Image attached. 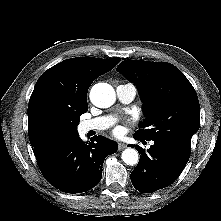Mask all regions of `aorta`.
<instances>
[{
    "label": "aorta",
    "mask_w": 221,
    "mask_h": 221,
    "mask_svg": "<svg viewBox=\"0 0 221 221\" xmlns=\"http://www.w3.org/2000/svg\"><path fill=\"white\" fill-rule=\"evenodd\" d=\"M116 99L113 87L107 83L95 84L90 91L91 102L99 108H107L114 104ZM123 162L127 165H136L139 154L133 148H126L121 155Z\"/></svg>",
    "instance_id": "aorta-1"
}]
</instances>
